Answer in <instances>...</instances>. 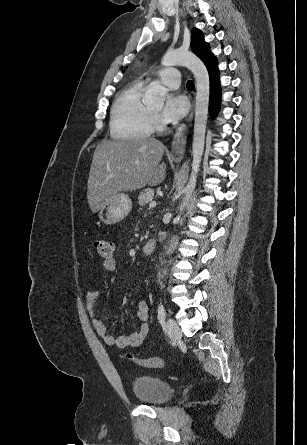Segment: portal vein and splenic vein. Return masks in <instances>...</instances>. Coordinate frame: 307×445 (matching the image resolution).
Wrapping results in <instances>:
<instances>
[{
    "instance_id": "obj_1",
    "label": "portal vein and splenic vein",
    "mask_w": 307,
    "mask_h": 445,
    "mask_svg": "<svg viewBox=\"0 0 307 445\" xmlns=\"http://www.w3.org/2000/svg\"><path fill=\"white\" fill-rule=\"evenodd\" d=\"M156 204H157L156 200H151V202H149L150 208H153V206H156Z\"/></svg>"
}]
</instances>
